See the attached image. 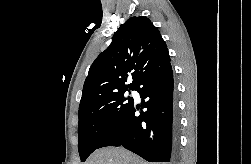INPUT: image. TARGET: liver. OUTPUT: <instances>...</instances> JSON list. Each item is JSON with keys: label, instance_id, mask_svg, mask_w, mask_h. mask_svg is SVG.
I'll list each match as a JSON object with an SVG mask.
<instances>
[{"label": "liver", "instance_id": "obj_1", "mask_svg": "<svg viewBox=\"0 0 251 164\" xmlns=\"http://www.w3.org/2000/svg\"><path fill=\"white\" fill-rule=\"evenodd\" d=\"M85 164H148L121 147H105L93 152Z\"/></svg>", "mask_w": 251, "mask_h": 164}]
</instances>
